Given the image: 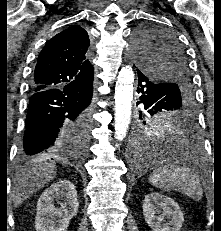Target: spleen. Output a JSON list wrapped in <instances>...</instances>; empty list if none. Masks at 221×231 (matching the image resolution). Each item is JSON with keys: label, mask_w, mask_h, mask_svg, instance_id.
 <instances>
[{"label": "spleen", "mask_w": 221, "mask_h": 231, "mask_svg": "<svg viewBox=\"0 0 221 231\" xmlns=\"http://www.w3.org/2000/svg\"><path fill=\"white\" fill-rule=\"evenodd\" d=\"M149 183L163 191L180 192L195 200L201 199L203 194L197 176L174 161H168L155 169L149 176Z\"/></svg>", "instance_id": "1"}]
</instances>
